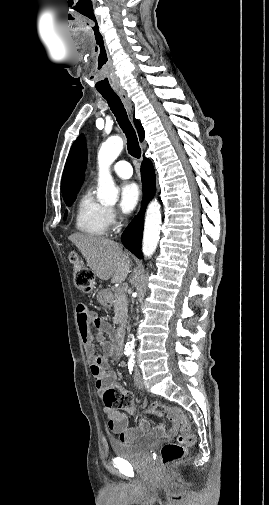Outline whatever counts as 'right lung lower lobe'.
<instances>
[{
  "label": "right lung lower lobe",
  "instance_id": "98d812e1",
  "mask_svg": "<svg viewBox=\"0 0 269 505\" xmlns=\"http://www.w3.org/2000/svg\"><path fill=\"white\" fill-rule=\"evenodd\" d=\"M141 178L144 192L141 211L128 225L121 237L124 246L140 259L143 258L141 240L144 226V212L148 201L155 193V172L153 164L148 158H144L142 161Z\"/></svg>",
  "mask_w": 269,
  "mask_h": 505
}]
</instances>
